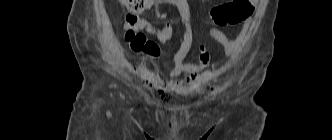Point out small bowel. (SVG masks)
<instances>
[{"label": "small bowel", "instance_id": "small-bowel-1", "mask_svg": "<svg viewBox=\"0 0 332 140\" xmlns=\"http://www.w3.org/2000/svg\"><path fill=\"white\" fill-rule=\"evenodd\" d=\"M158 5L159 9L157 14L160 17H165V14L161 11L163 6H174L180 16L181 21L184 27V33L179 46L174 50L172 54L174 68L168 73V79H163L156 72H147L146 73V82L161 94H180L185 91V84L193 80L199 73L204 71L210 61V54L208 50L201 46L199 52V63L191 64L186 63L185 58L187 57L193 43V31H192V16L189 10L186 0H154ZM250 27V22L246 21L238 34L234 39H229L222 31L206 27V31L215 40L224 51L225 58L231 57L235 50L241 45L244 41L245 36ZM157 39L165 43L170 39L164 38L160 34H155Z\"/></svg>", "mask_w": 332, "mask_h": 140}]
</instances>
